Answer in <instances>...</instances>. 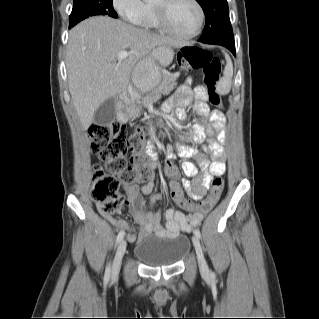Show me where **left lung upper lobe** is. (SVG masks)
<instances>
[{
    "label": "left lung upper lobe",
    "instance_id": "5c2ea615",
    "mask_svg": "<svg viewBox=\"0 0 319 319\" xmlns=\"http://www.w3.org/2000/svg\"><path fill=\"white\" fill-rule=\"evenodd\" d=\"M202 7L206 23L199 39L202 43L221 45L234 42L227 0H196Z\"/></svg>",
    "mask_w": 319,
    "mask_h": 319
}]
</instances>
